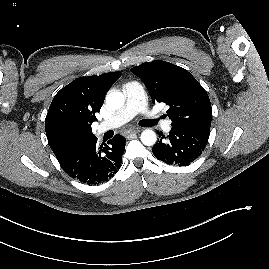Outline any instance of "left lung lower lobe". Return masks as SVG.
I'll use <instances>...</instances> for the list:
<instances>
[{
  "label": "left lung lower lobe",
  "mask_w": 269,
  "mask_h": 269,
  "mask_svg": "<svg viewBox=\"0 0 269 269\" xmlns=\"http://www.w3.org/2000/svg\"><path fill=\"white\" fill-rule=\"evenodd\" d=\"M157 133L160 140L152 148L154 156L169 165L186 166L204 151L210 129L171 128L167 137Z\"/></svg>",
  "instance_id": "1"
}]
</instances>
